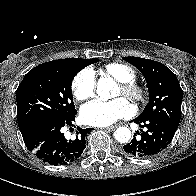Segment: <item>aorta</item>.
I'll use <instances>...</instances> for the list:
<instances>
[{
    "label": "aorta",
    "mask_w": 196,
    "mask_h": 196,
    "mask_svg": "<svg viewBox=\"0 0 196 196\" xmlns=\"http://www.w3.org/2000/svg\"><path fill=\"white\" fill-rule=\"evenodd\" d=\"M114 89L115 83L113 79L102 77L98 81L96 92L102 100L106 101L116 96ZM114 137L120 143H127L131 138V131L127 127H119L115 130Z\"/></svg>",
    "instance_id": "1"
}]
</instances>
